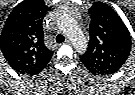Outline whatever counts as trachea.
<instances>
[{"label":"trachea","mask_w":135,"mask_h":95,"mask_svg":"<svg viewBox=\"0 0 135 95\" xmlns=\"http://www.w3.org/2000/svg\"><path fill=\"white\" fill-rule=\"evenodd\" d=\"M64 40H65V38H64L63 35L58 34V35L56 36V42H57V43H62V42H64Z\"/></svg>","instance_id":"3493384b"}]
</instances>
